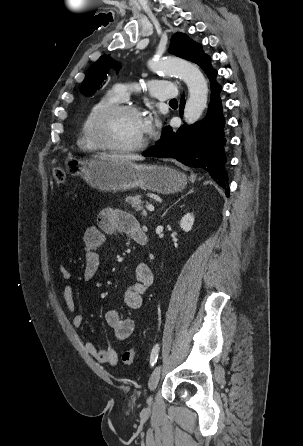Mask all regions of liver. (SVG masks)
<instances>
[{"label": "liver", "instance_id": "6515ba94", "mask_svg": "<svg viewBox=\"0 0 303 446\" xmlns=\"http://www.w3.org/2000/svg\"><path fill=\"white\" fill-rule=\"evenodd\" d=\"M101 159L105 160H111V161H124V160H130V161H142L144 160V157L139 155H106L101 154L99 156Z\"/></svg>", "mask_w": 303, "mask_h": 446}]
</instances>
